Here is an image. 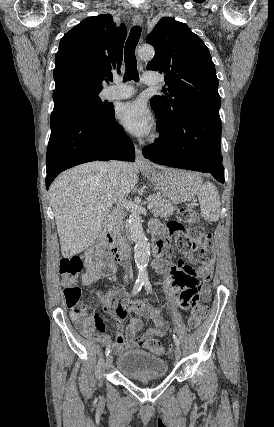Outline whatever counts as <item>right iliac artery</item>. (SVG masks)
<instances>
[{
  "instance_id": "obj_1",
  "label": "right iliac artery",
  "mask_w": 274,
  "mask_h": 427,
  "mask_svg": "<svg viewBox=\"0 0 274 427\" xmlns=\"http://www.w3.org/2000/svg\"><path fill=\"white\" fill-rule=\"evenodd\" d=\"M143 283L144 282L141 281V280H136V282L134 284V287H133V290H132V295L133 296H135L141 290V288L143 286ZM110 351H111L110 345H108L107 348H106V352H105L106 357L110 354Z\"/></svg>"
}]
</instances>
